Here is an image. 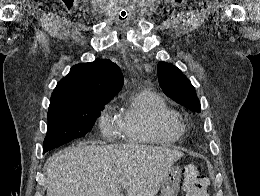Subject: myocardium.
I'll return each instance as SVG.
<instances>
[{
    "label": "myocardium",
    "mask_w": 260,
    "mask_h": 196,
    "mask_svg": "<svg viewBox=\"0 0 260 196\" xmlns=\"http://www.w3.org/2000/svg\"><path fill=\"white\" fill-rule=\"evenodd\" d=\"M173 124L177 126L182 132L185 130V124L183 122V119L180 115H177L172 120Z\"/></svg>",
    "instance_id": "f54148a6"
}]
</instances>
